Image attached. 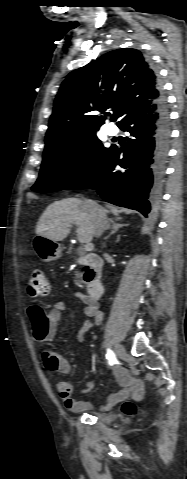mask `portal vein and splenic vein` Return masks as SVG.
<instances>
[{
  "instance_id": "obj_1",
  "label": "portal vein and splenic vein",
  "mask_w": 187,
  "mask_h": 479,
  "mask_svg": "<svg viewBox=\"0 0 187 479\" xmlns=\"http://www.w3.org/2000/svg\"><path fill=\"white\" fill-rule=\"evenodd\" d=\"M85 250L88 251V252H89V251H92V250H93V244L87 243V244L85 245Z\"/></svg>"
}]
</instances>
